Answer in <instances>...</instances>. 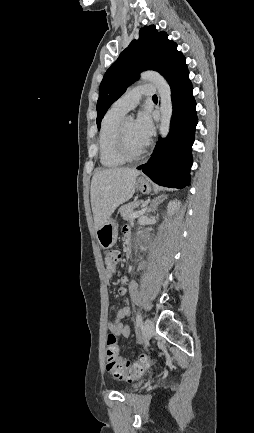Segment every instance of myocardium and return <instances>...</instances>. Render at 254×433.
<instances>
[{
  "mask_svg": "<svg viewBox=\"0 0 254 433\" xmlns=\"http://www.w3.org/2000/svg\"><path fill=\"white\" fill-rule=\"evenodd\" d=\"M124 123H125V120L122 119V121L120 122V124L118 126L117 136H116L117 150H118L119 154L121 155V157L124 158L126 161L139 160L147 152L148 143L140 151H138V152H132L128 148L127 143H126L125 131H124Z\"/></svg>",
  "mask_w": 254,
  "mask_h": 433,
  "instance_id": "f54148a6",
  "label": "myocardium"
}]
</instances>
